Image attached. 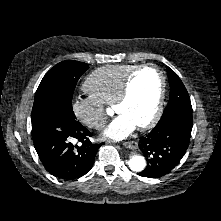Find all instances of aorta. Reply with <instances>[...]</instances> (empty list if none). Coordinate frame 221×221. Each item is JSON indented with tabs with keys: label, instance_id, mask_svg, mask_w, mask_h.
Masks as SVG:
<instances>
[{
	"label": "aorta",
	"instance_id": "1",
	"mask_svg": "<svg viewBox=\"0 0 221 221\" xmlns=\"http://www.w3.org/2000/svg\"><path fill=\"white\" fill-rule=\"evenodd\" d=\"M129 168L134 172L142 171L146 166V161L143 156L133 155L129 160Z\"/></svg>",
	"mask_w": 221,
	"mask_h": 221
}]
</instances>
